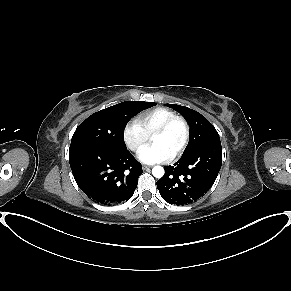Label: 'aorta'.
I'll return each instance as SVG.
<instances>
[{
    "instance_id": "obj_1",
    "label": "aorta",
    "mask_w": 291,
    "mask_h": 291,
    "mask_svg": "<svg viewBox=\"0 0 291 291\" xmlns=\"http://www.w3.org/2000/svg\"><path fill=\"white\" fill-rule=\"evenodd\" d=\"M164 173H165V172H164V168L161 167V166H155V167H153V169H152V174H153V176L156 177V178H161V177H163Z\"/></svg>"
}]
</instances>
